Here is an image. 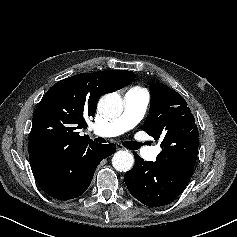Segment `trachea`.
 Masks as SVG:
<instances>
[{"mask_svg":"<svg viewBox=\"0 0 237 237\" xmlns=\"http://www.w3.org/2000/svg\"><path fill=\"white\" fill-rule=\"evenodd\" d=\"M95 141L100 142V143H106V140L104 138L98 137L95 139ZM123 146H125L127 149L130 150H136L140 147L141 144L137 143V142H123L122 143Z\"/></svg>","mask_w":237,"mask_h":237,"instance_id":"obj_1","label":"trachea"}]
</instances>
